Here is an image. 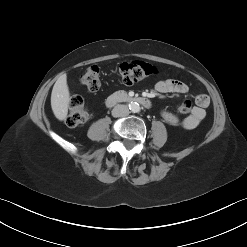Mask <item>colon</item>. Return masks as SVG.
Segmentation results:
<instances>
[{
    "instance_id": "1",
    "label": "colon",
    "mask_w": 247,
    "mask_h": 247,
    "mask_svg": "<svg viewBox=\"0 0 247 247\" xmlns=\"http://www.w3.org/2000/svg\"><path fill=\"white\" fill-rule=\"evenodd\" d=\"M117 74L124 85H132L147 77L156 74V69L149 63L143 61L123 62L119 65ZM80 83L89 91H97L101 86L100 69L97 66H90L80 76ZM192 108L190 101H184L178 107V113L186 114ZM89 119V113L84 106L81 96L74 94L70 99L66 124L69 127H77L86 123Z\"/></svg>"
}]
</instances>
